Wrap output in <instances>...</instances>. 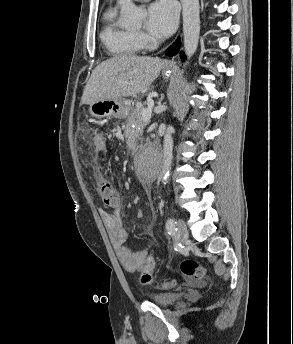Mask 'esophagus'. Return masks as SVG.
<instances>
[{
	"label": "esophagus",
	"instance_id": "34e87169",
	"mask_svg": "<svg viewBox=\"0 0 293 344\" xmlns=\"http://www.w3.org/2000/svg\"><path fill=\"white\" fill-rule=\"evenodd\" d=\"M172 65H173V63H172L171 61L167 63V67H168V68H169V67H172Z\"/></svg>",
	"mask_w": 293,
	"mask_h": 344
}]
</instances>
